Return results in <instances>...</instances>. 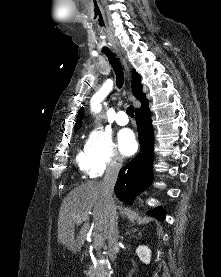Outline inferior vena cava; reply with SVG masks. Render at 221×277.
I'll return each mask as SVG.
<instances>
[{"instance_id": "obj_1", "label": "inferior vena cava", "mask_w": 221, "mask_h": 277, "mask_svg": "<svg viewBox=\"0 0 221 277\" xmlns=\"http://www.w3.org/2000/svg\"><path fill=\"white\" fill-rule=\"evenodd\" d=\"M121 168V163L111 161L106 168L105 176L103 178V195L107 202L109 211V224H108V254L112 261L116 259V252L118 248L117 236H118V216L116 206L113 199V189L116 183L118 173Z\"/></svg>"}]
</instances>
